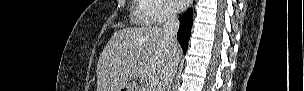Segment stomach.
<instances>
[{
    "instance_id": "obj_1",
    "label": "stomach",
    "mask_w": 304,
    "mask_h": 91,
    "mask_svg": "<svg viewBox=\"0 0 304 91\" xmlns=\"http://www.w3.org/2000/svg\"><path fill=\"white\" fill-rule=\"evenodd\" d=\"M121 90H125V91H135L133 87L131 86H125L123 87Z\"/></svg>"
}]
</instances>
